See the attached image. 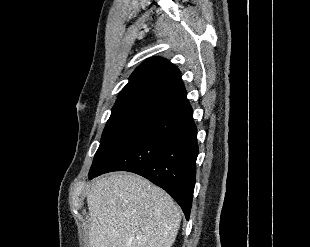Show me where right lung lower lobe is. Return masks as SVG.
Here are the masks:
<instances>
[{
	"label": "right lung lower lobe",
	"instance_id": "obj_1",
	"mask_svg": "<svg viewBox=\"0 0 310 247\" xmlns=\"http://www.w3.org/2000/svg\"><path fill=\"white\" fill-rule=\"evenodd\" d=\"M198 152L193 111L184 99L149 119L89 178L111 171L139 174L168 192L188 220Z\"/></svg>",
	"mask_w": 310,
	"mask_h": 247
}]
</instances>
